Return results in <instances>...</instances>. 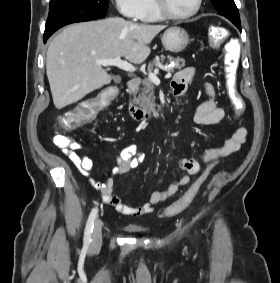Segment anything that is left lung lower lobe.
<instances>
[{"label":"left lung lower lobe","instance_id":"0a47b994","mask_svg":"<svg viewBox=\"0 0 280 283\" xmlns=\"http://www.w3.org/2000/svg\"><path fill=\"white\" fill-rule=\"evenodd\" d=\"M240 31H241V23L236 21H231Z\"/></svg>","mask_w":280,"mask_h":283}]
</instances>
